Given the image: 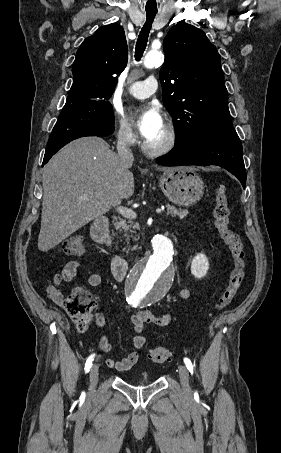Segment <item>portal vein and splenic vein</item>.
I'll return each instance as SVG.
<instances>
[{"mask_svg":"<svg viewBox=\"0 0 281 453\" xmlns=\"http://www.w3.org/2000/svg\"><path fill=\"white\" fill-rule=\"evenodd\" d=\"M83 198H89V196H83ZM116 210L125 216V218H136L137 214L132 210V208H127V206H117ZM163 210V208H162ZM156 214H161V208H156Z\"/></svg>","mask_w":281,"mask_h":453,"instance_id":"obj_1","label":"portal vein and splenic vein"}]
</instances>
